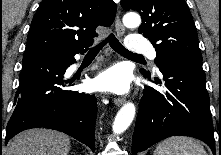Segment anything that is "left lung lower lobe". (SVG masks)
<instances>
[{
    "label": "left lung lower lobe",
    "mask_w": 221,
    "mask_h": 155,
    "mask_svg": "<svg viewBox=\"0 0 221 155\" xmlns=\"http://www.w3.org/2000/svg\"><path fill=\"white\" fill-rule=\"evenodd\" d=\"M164 90L145 86L132 139V155L162 139L183 135L198 138L212 149L215 140L202 61L171 57L158 64ZM150 80V73L141 71ZM156 84H162L155 78Z\"/></svg>",
    "instance_id": "obj_1"
}]
</instances>
